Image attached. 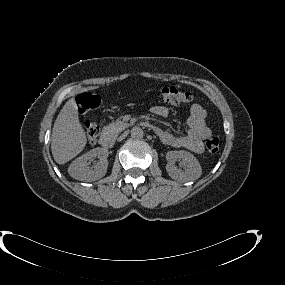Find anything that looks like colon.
Segmentation results:
<instances>
[{
	"instance_id": "colon-1",
	"label": "colon",
	"mask_w": 285,
	"mask_h": 285,
	"mask_svg": "<svg viewBox=\"0 0 285 285\" xmlns=\"http://www.w3.org/2000/svg\"><path fill=\"white\" fill-rule=\"evenodd\" d=\"M155 93L160 95L165 102L175 105H187L194 99L191 92L182 91L175 86L162 87L155 90ZM76 102L81 114H86L89 111L98 108L100 105L99 97L91 93L80 94L77 96ZM84 125L89 142L94 143L100 131L99 125L94 120H86ZM206 147L210 153L218 152L220 148V139L218 137L209 138L206 142Z\"/></svg>"
}]
</instances>
